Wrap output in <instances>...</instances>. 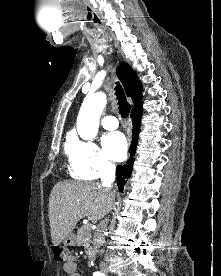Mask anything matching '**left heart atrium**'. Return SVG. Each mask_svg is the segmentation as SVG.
I'll list each match as a JSON object with an SVG mask.
<instances>
[{
	"label": "left heart atrium",
	"instance_id": "39dd6f15",
	"mask_svg": "<svg viewBox=\"0 0 221 276\" xmlns=\"http://www.w3.org/2000/svg\"><path fill=\"white\" fill-rule=\"evenodd\" d=\"M104 149L107 155L115 160L122 161L127 154V142L120 132H113L104 138Z\"/></svg>",
	"mask_w": 221,
	"mask_h": 276
}]
</instances>
